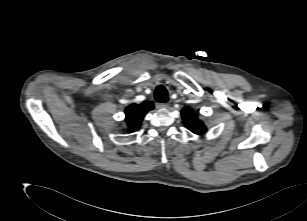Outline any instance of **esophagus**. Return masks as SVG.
<instances>
[{"mask_svg":"<svg viewBox=\"0 0 307 221\" xmlns=\"http://www.w3.org/2000/svg\"><path fill=\"white\" fill-rule=\"evenodd\" d=\"M156 108L157 109H167L169 108V104L168 103H157Z\"/></svg>","mask_w":307,"mask_h":221,"instance_id":"34e87169","label":"esophagus"}]
</instances>
